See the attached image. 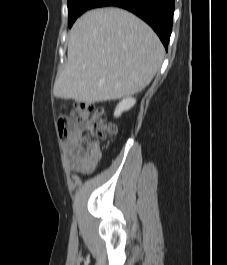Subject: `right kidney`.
<instances>
[{
  "label": "right kidney",
  "mask_w": 227,
  "mask_h": 265,
  "mask_svg": "<svg viewBox=\"0 0 227 265\" xmlns=\"http://www.w3.org/2000/svg\"><path fill=\"white\" fill-rule=\"evenodd\" d=\"M135 103H136V100L132 97H127V98L123 99L117 105L116 110L114 112V116L119 117L122 114V112L131 109Z\"/></svg>",
  "instance_id": "1"
}]
</instances>
